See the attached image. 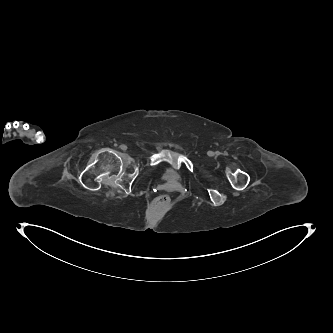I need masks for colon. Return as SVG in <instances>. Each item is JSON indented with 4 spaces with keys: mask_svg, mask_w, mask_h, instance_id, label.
Instances as JSON below:
<instances>
[{
    "mask_svg": "<svg viewBox=\"0 0 333 333\" xmlns=\"http://www.w3.org/2000/svg\"><path fill=\"white\" fill-rule=\"evenodd\" d=\"M171 200L167 194H161L153 200V207L158 210H166L170 207Z\"/></svg>",
    "mask_w": 333,
    "mask_h": 333,
    "instance_id": "1",
    "label": "colon"
}]
</instances>
